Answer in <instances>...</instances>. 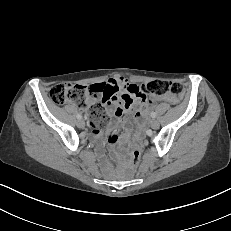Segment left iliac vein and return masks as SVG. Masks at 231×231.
Returning a JSON list of instances; mask_svg holds the SVG:
<instances>
[{"instance_id": "obj_1", "label": "left iliac vein", "mask_w": 231, "mask_h": 231, "mask_svg": "<svg viewBox=\"0 0 231 231\" xmlns=\"http://www.w3.org/2000/svg\"><path fill=\"white\" fill-rule=\"evenodd\" d=\"M159 126H160V123H159L158 120H156V119L151 120V122H150V127H151L153 130L158 129Z\"/></svg>"}]
</instances>
